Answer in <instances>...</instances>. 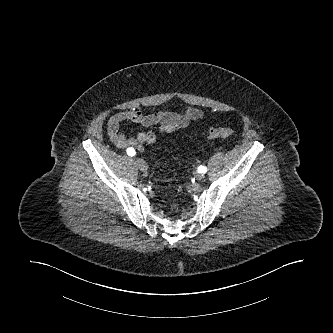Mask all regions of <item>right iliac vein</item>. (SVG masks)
<instances>
[{"label":"right iliac vein","instance_id":"1","mask_svg":"<svg viewBox=\"0 0 333 333\" xmlns=\"http://www.w3.org/2000/svg\"><path fill=\"white\" fill-rule=\"evenodd\" d=\"M136 164L141 171H146L148 168L146 162L142 159L136 158Z\"/></svg>","mask_w":333,"mask_h":333}]
</instances>
